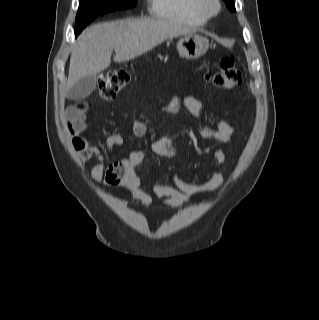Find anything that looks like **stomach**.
<instances>
[{
  "label": "stomach",
  "instance_id": "stomach-1",
  "mask_svg": "<svg viewBox=\"0 0 319 320\" xmlns=\"http://www.w3.org/2000/svg\"><path fill=\"white\" fill-rule=\"evenodd\" d=\"M208 48L209 40L196 34L184 35L177 43L179 55L185 59L199 58L207 52Z\"/></svg>",
  "mask_w": 319,
  "mask_h": 320
}]
</instances>
